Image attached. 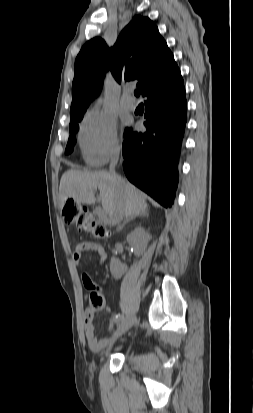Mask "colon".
I'll use <instances>...</instances> for the list:
<instances>
[{
  "label": "colon",
  "mask_w": 253,
  "mask_h": 413,
  "mask_svg": "<svg viewBox=\"0 0 253 413\" xmlns=\"http://www.w3.org/2000/svg\"><path fill=\"white\" fill-rule=\"evenodd\" d=\"M63 217L65 222L77 226L80 229L90 232L95 238H102L106 235V230L102 226H98L91 219L85 209L73 200H68L63 207ZM88 300L92 310H100L105 306V300L93 283L88 286Z\"/></svg>",
  "instance_id": "1"
}]
</instances>
